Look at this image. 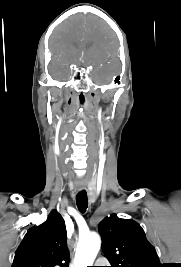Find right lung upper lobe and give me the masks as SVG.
Returning a JSON list of instances; mask_svg holds the SVG:
<instances>
[{"label":"right lung upper lobe","mask_w":181,"mask_h":267,"mask_svg":"<svg viewBox=\"0 0 181 267\" xmlns=\"http://www.w3.org/2000/svg\"><path fill=\"white\" fill-rule=\"evenodd\" d=\"M66 237L65 222L53 210L43 224L28 230L12 267H69Z\"/></svg>","instance_id":"right-lung-upper-lobe-1"}]
</instances>
